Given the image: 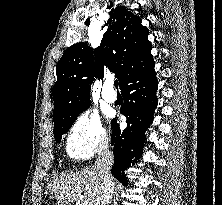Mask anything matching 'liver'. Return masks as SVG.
Instances as JSON below:
<instances>
[{
  "label": "liver",
  "instance_id": "1",
  "mask_svg": "<svg viewBox=\"0 0 222 205\" xmlns=\"http://www.w3.org/2000/svg\"><path fill=\"white\" fill-rule=\"evenodd\" d=\"M102 182L95 168H86L76 172L63 173L47 185L46 194H55L64 205L77 201L81 205H101Z\"/></svg>",
  "mask_w": 222,
  "mask_h": 205
}]
</instances>
